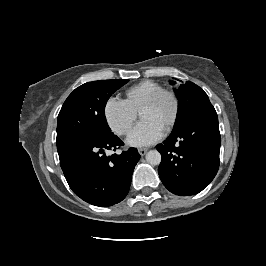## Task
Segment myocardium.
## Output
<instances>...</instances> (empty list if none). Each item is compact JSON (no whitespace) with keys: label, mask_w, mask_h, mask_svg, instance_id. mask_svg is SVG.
<instances>
[{"label":"myocardium","mask_w":266,"mask_h":266,"mask_svg":"<svg viewBox=\"0 0 266 266\" xmlns=\"http://www.w3.org/2000/svg\"><path fill=\"white\" fill-rule=\"evenodd\" d=\"M165 97H169L173 102L172 115L165 125L166 128H171L176 123L178 115H179V111H180L179 98L175 92H173L171 90H167V89H163V90L157 92L149 100L146 101V103L143 105L142 109L145 107H150V106H154V105L158 104Z\"/></svg>","instance_id":"myocardium-1"}]
</instances>
